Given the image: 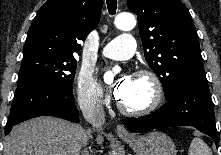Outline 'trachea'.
<instances>
[{"label": "trachea", "mask_w": 221, "mask_h": 155, "mask_svg": "<svg viewBox=\"0 0 221 155\" xmlns=\"http://www.w3.org/2000/svg\"><path fill=\"white\" fill-rule=\"evenodd\" d=\"M108 11L111 15L116 13L117 0H107Z\"/></svg>", "instance_id": "3493384b"}]
</instances>
